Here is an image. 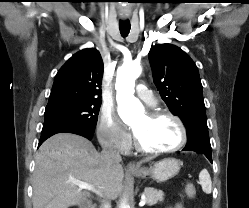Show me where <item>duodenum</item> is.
<instances>
[{"mask_svg": "<svg viewBox=\"0 0 249 208\" xmlns=\"http://www.w3.org/2000/svg\"><path fill=\"white\" fill-rule=\"evenodd\" d=\"M89 208H96V207L93 205V206H91V207H89Z\"/></svg>", "mask_w": 249, "mask_h": 208, "instance_id": "410a0bca", "label": "duodenum"}]
</instances>
